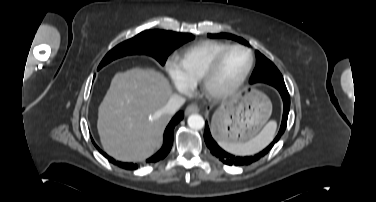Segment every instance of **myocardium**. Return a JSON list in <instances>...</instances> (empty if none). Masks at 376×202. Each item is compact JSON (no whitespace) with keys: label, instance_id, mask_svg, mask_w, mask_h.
<instances>
[{"label":"myocardium","instance_id":"obj_1","mask_svg":"<svg viewBox=\"0 0 376 202\" xmlns=\"http://www.w3.org/2000/svg\"><path fill=\"white\" fill-rule=\"evenodd\" d=\"M236 49H241L244 50L248 53L249 55V63L245 69V71L242 73V75L231 85L228 87L218 89L214 87L213 81L224 61L226 56L233 50ZM254 64V55L251 49L248 47H245L240 44H235V45H230L226 49H224L213 61L212 63L208 66V68L205 70L202 78H201V88L203 93L211 100L214 101H221L224 99H227L234 95L245 83L247 80L252 67Z\"/></svg>","mask_w":376,"mask_h":202}]
</instances>
